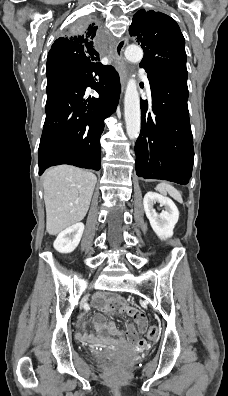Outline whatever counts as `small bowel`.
Here are the masks:
<instances>
[{"label":"small bowel","mask_w":228,"mask_h":396,"mask_svg":"<svg viewBox=\"0 0 228 396\" xmlns=\"http://www.w3.org/2000/svg\"><path fill=\"white\" fill-rule=\"evenodd\" d=\"M94 306L102 312V314H98L94 320L95 329L99 334H112L122 338V333L117 330L111 322L106 321L105 315L112 314L113 312H125L133 317L137 324V327H135L134 324L128 325L125 333L126 338L130 342L138 345H143L145 343L142 335L146 331V316L138 309L128 305L123 297L109 294L98 295L94 299ZM78 338L82 341H86L90 340L92 337L88 335L82 327L78 332Z\"/></svg>","instance_id":"c3829d8e"}]
</instances>
